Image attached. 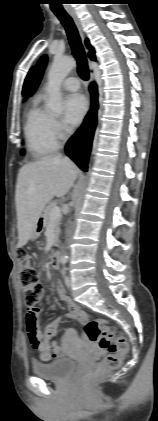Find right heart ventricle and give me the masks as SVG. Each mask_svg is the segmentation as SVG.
<instances>
[{
  "mask_svg": "<svg viewBox=\"0 0 158 421\" xmlns=\"http://www.w3.org/2000/svg\"><path fill=\"white\" fill-rule=\"evenodd\" d=\"M26 145L34 158L46 157L58 148L53 118L40 105L37 97L27 112L24 126Z\"/></svg>",
  "mask_w": 158,
  "mask_h": 421,
  "instance_id": "right-heart-ventricle-1",
  "label": "right heart ventricle"
}]
</instances>
